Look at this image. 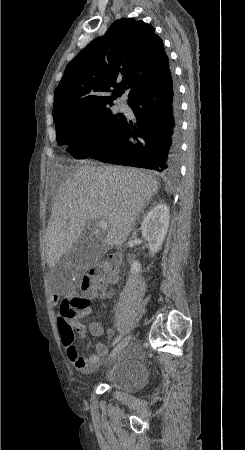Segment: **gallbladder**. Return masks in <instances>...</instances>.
<instances>
[{"instance_id":"1","label":"gallbladder","mask_w":245,"mask_h":450,"mask_svg":"<svg viewBox=\"0 0 245 450\" xmlns=\"http://www.w3.org/2000/svg\"><path fill=\"white\" fill-rule=\"evenodd\" d=\"M106 252L105 244L84 233L65 254L62 263L77 273L101 259Z\"/></svg>"}]
</instances>
